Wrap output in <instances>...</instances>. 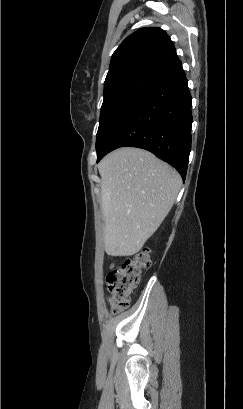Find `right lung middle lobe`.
<instances>
[{"mask_svg":"<svg viewBox=\"0 0 243 409\" xmlns=\"http://www.w3.org/2000/svg\"><path fill=\"white\" fill-rule=\"evenodd\" d=\"M159 82L160 79L157 78L136 76L115 82L104 90L96 137L97 154L117 127Z\"/></svg>","mask_w":243,"mask_h":409,"instance_id":"1","label":"right lung middle lobe"}]
</instances>
